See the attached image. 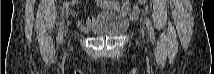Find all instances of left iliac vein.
Here are the masks:
<instances>
[{
	"mask_svg": "<svg viewBox=\"0 0 214 74\" xmlns=\"http://www.w3.org/2000/svg\"><path fill=\"white\" fill-rule=\"evenodd\" d=\"M142 35H143V37L145 36V33L144 32H142Z\"/></svg>",
	"mask_w": 214,
	"mask_h": 74,
	"instance_id": "obj_1",
	"label": "left iliac vein"
}]
</instances>
